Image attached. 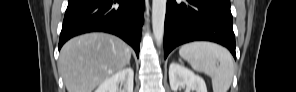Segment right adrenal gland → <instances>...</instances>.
I'll return each instance as SVG.
<instances>
[{
    "instance_id": "obj_1",
    "label": "right adrenal gland",
    "mask_w": 296,
    "mask_h": 92,
    "mask_svg": "<svg viewBox=\"0 0 296 92\" xmlns=\"http://www.w3.org/2000/svg\"><path fill=\"white\" fill-rule=\"evenodd\" d=\"M127 65L130 67V62H128Z\"/></svg>"
}]
</instances>
